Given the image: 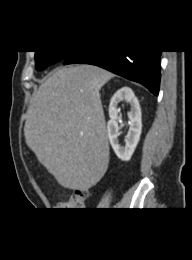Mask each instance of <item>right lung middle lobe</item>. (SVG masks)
<instances>
[{"label":"right lung middle lobe","instance_id":"obj_1","mask_svg":"<svg viewBox=\"0 0 192 260\" xmlns=\"http://www.w3.org/2000/svg\"><path fill=\"white\" fill-rule=\"evenodd\" d=\"M69 51H35V67L37 70H43L46 67L64 60Z\"/></svg>","mask_w":192,"mask_h":260}]
</instances>
